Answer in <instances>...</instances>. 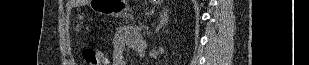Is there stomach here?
<instances>
[{
    "label": "stomach",
    "instance_id": "1",
    "mask_svg": "<svg viewBox=\"0 0 309 65\" xmlns=\"http://www.w3.org/2000/svg\"><path fill=\"white\" fill-rule=\"evenodd\" d=\"M92 6L100 14L120 17L127 11V0H94Z\"/></svg>",
    "mask_w": 309,
    "mask_h": 65
}]
</instances>
